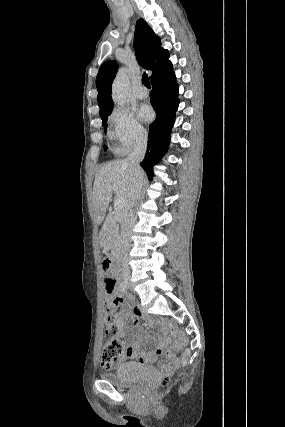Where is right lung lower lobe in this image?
Here are the masks:
<instances>
[{
  "label": "right lung lower lobe",
  "mask_w": 285,
  "mask_h": 427,
  "mask_svg": "<svg viewBox=\"0 0 285 427\" xmlns=\"http://www.w3.org/2000/svg\"><path fill=\"white\" fill-rule=\"evenodd\" d=\"M152 86L150 100L156 112V119L150 124L147 151L144 160L140 163L149 178L153 176V166L168 148L169 135L179 105L178 85L174 73L152 83Z\"/></svg>",
  "instance_id": "obj_1"
}]
</instances>
